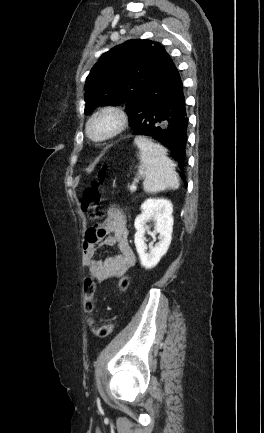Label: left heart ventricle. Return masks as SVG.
Returning a JSON list of instances; mask_svg holds the SVG:
<instances>
[{
    "instance_id": "obj_1",
    "label": "left heart ventricle",
    "mask_w": 264,
    "mask_h": 433,
    "mask_svg": "<svg viewBox=\"0 0 264 433\" xmlns=\"http://www.w3.org/2000/svg\"><path fill=\"white\" fill-rule=\"evenodd\" d=\"M109 124H110V121L105 120L104 122H102L96 126V130H102V129L106 128Z\"/></svg>"
}]
</instances>
